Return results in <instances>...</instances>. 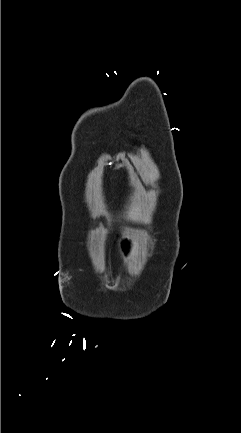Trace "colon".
I'll use <instances>...</instances> for the list:
<instances>
[{"label": "colon", "instance_id": "colon-1", "mask_svg": "<svg viewBox=\"0 0 241 433\" xmlns=\"http://www.w3.org/2000/svg\"><path fill=\"white\" fill-rule=\"evenodd\" d=\"M109 236L113 238L111 240V245L114 247V249H122V247L126 245V242L130 249H134V242L130 240V237L128 235H125L123 238H114L116 236V233L114 231H111L109 233ZM122 254H128V251H122Z\"/></svg>", "mask_w": 241, "mask_h": 433}]
</instances>
